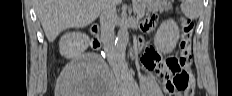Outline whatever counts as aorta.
I'll return each instance as SVG.
<instances>
[{"label":"aorta","mask_w":232,"mask_h":96,"mask_svg":"<svg viewBox=\"0 0 232 96\" xmlns=\"http://www.w3.org/2000/svg\"><path fill=\"white\" fill-rule=\"evenodd\" d=\"M129 41V32L126 25H123L117 34L115 41V58L123 75L129 74L128 65L126 63V47Z\"/></svg>","instance_id":"1"}]
</instances>
